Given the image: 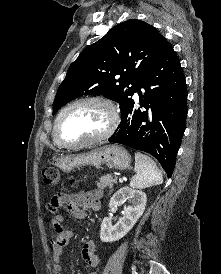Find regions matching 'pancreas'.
<instances>
[{
	"instance_id": "obj_1",
	"label": "pancreas",
	"mask_w": 221,
	"mask_h": 274,
	"mask_svg": "<svg viewBox=\"0 0 221 274\" xmlns=\"http://www.w3.org/2000/svg\"><path fill=\"white\" fill-rule=\"evenodd\" d=\"M117 183V177H113L112 175L110 174H107L105 176H102L100 179H99V182H97V186L100 188V189H104V188H112L114 184Z\"/></svg>"
}]
</instances>
